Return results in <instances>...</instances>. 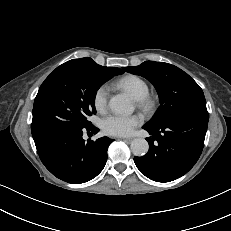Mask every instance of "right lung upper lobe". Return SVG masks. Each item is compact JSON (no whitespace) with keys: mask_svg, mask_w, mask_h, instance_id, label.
<instances>
[{"mask_svg":"<svg viewBox=\"0 0 231 231\" xmlns=\"http://www.w3.org/2000/svg\"><path fill=\"white\" fill-rule=\"evenodd\" d=\"M80 65H98V64L95 63L91 58L85 57V58L70 60L62 64L61 66H80Z\"/></svg>","mask_w":231,"mask_h":231,"instance_id":"right-lung-upper-lobe-1","label":"right lung upper lobe"}]
</instances>
